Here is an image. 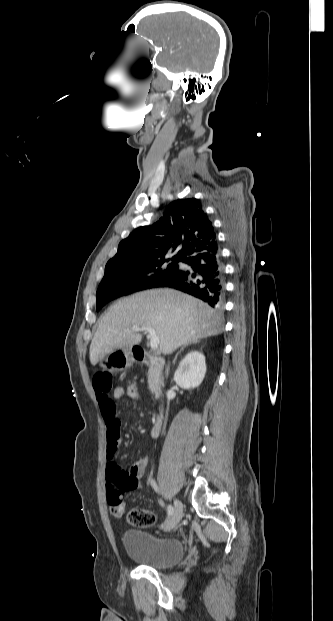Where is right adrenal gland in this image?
Segmentation results:
<instances>
[{
  "label": "right adrenal gland",
  "mask_w": 333,
  "mask_h": 621,
  "mask_svg": "<svg viewBox=\"0 0 333 621\" xmlns=\"http://www.w3.org/2000/svg\"><path fill=\"white\" fill-rule=\"evenodd\" d=\"M197 342H199V340H194V341H191V342H189V343L185 344L184 346H182V347H181V349H180V351H179V352L175 355V358H174L173 363L175 364V361H176V359H177V356L179 355V353H180V352H182V351L184 350V348H185L186 346L191 345V344H195V343H197Z\"/></svg>",
  "instance_id": "1"
}]
</instances>
